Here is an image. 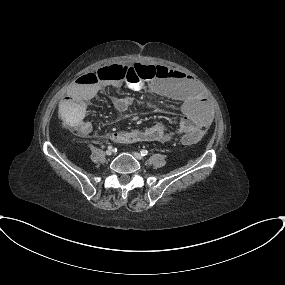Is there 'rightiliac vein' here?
Wrapping results in <instances>:
<instances>
[{
	"label": "right iliac vein",
	"instance_id": "obj_1",
	"mask_svg": "<svg viewBox=\"0 0 285 285\" xmlns=\"http://www.w3.org/2000/svg\"><path fill=\"white\" fill-rule=\"evenodd\" d=\"M105 153H106V155H112L113 151L110 149H107Z\"/></svg>",
	"mask_w": 285,
	"mask_h": 285
}]
</instances>
